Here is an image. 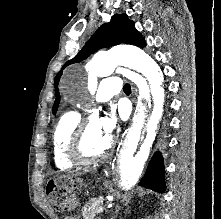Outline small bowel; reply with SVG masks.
Here are the masks:
<instances>
[{"mask_svg":"<svg viewBox=\"0 0 221 219\" xmlns=\"http://www.w3.org/2000/svg\"><path fill=\"white\" fill-rule=\"evenodd\" d=\"M65 219H79L77 216L71 215L66 217Z\"/></svg>","mask_w":221,"mask_h":219,"instance_id":"c3829d8e","label":"small bowel"}]
</instances>
